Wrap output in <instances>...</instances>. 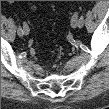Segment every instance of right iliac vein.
<instances>
[{
    "label": "right iliac vein",
    "mask_w": 109,
    "mask_h": 109,
    "mask_svg": "<svg viewBox=\"0 0 109 109\" xmlns=\"http://www.w3.org/2000/svg\"><path fill=\"white\" fill-rule=\"evenodd\" d=\"M23 31L24 34L23 35H28L29 34V27L26 23H23Z\"/></svg>",
    "instance_id": "obj_1"
}]
</instances>
